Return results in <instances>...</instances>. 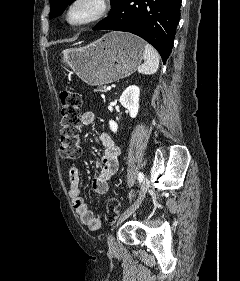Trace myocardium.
<instances>
[{"instance_id":"obj_1","label":"myocardium","mask_w":240,"mask_h":281,"mask_svg":"<svg viewBox=\"0 0 240 281\" xmlns=\"http://www.w3.org/2000/svg\"><path fill=\"white\" fill-rule=\"evenodd\" d=\"M90 5L88 14L79 20L73 19V13L80 5ZM109 11V0H71L65 8L63 19L70 27H82L95 23L106 16Z\"/></svg>"}]
</instances>
